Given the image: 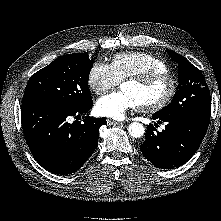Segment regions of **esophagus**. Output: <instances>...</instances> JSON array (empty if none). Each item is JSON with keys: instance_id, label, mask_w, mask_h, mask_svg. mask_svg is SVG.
<instances>
[{"instance_id": "esophagus-1", "label": "esophagus", "mask_w": 221, "mask_h": 221, "mask_svg": "<svg viewBox=\"0 0 221 221\" xmlns=\"http://www.w3.org/2000/svg\"><path fill=\"white\" fill-rule=\"evenodd\" d=\"M107 124H108V125H122V124H124V122L114 121V120L108 119V120H107Z\"/></svg>"}]
</instances>
